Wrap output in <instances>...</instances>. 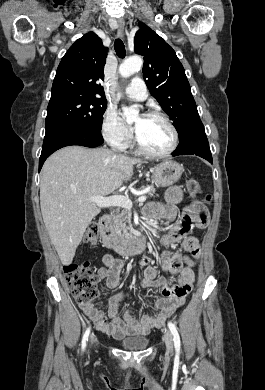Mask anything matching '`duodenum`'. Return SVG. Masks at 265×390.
<instances>
[{"label": "duodenum", "mask_w": 265, "mask_h": 390, "mask_svg": "<svg viewBox=\"0 0 265 390\" xmlns=\"http://www.w3.org/2000/svg\"><path fill=\"white\" fill-rule=\"evenodd\" d=\"M99 229L104 247L116 250L121 255L140 252L145 246L146 239L142 234L132 236L128 240L119 237L112 230V219L108 214L99 220Z\"/></svg>", "instance_id": "obj_1"}]
</instances>
